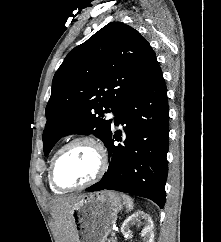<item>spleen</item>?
I'll return each instance as SVG.
<instances>
[{"label":"spleen","mask_w":221,"mask_h":242,"mask_svg":"<svg viewBox=\"0 0 221 242\" xmlns=\"http://www.w3.org/2000/svg\"><path fill=\"white\" fill-rule=\"evenodd\" d=\"M122 198L125 202L127 210L131 211L134 207L133 199L130 196L125 195V194H122Z\"/></svg>","instance_id":"3e777b00"}]
</instances>
